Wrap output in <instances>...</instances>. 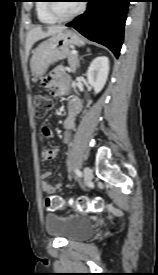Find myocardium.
Masks as SVG:
<instances>
[{
    "mask_svg": "<svg viewBox=\"0 0 158 275\" xmlns=\"http://www.w3.org/2000/svg\"><path fill=\"white\" fill-rule=\"evenodd\" d=\"M49 2H55V1L49 0ZM84 8H85V5L82 3L78 6L76 10H74L69 15H62L61 13H59L56 3H48V11L55 19L59 21H67V20L73 19L74 17L82 13L84 11Z\"/></svg>",
    "mask_w": 158,
    "mask_h": 275,
    "instance_id": "myocardium-1",
    "label": "myocardium"
}]
</instances>
